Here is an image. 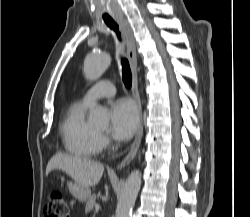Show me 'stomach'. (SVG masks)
Returning a JSON list of instances; mask_svg holds the SVG:
<instances>
[{"label": "stomach", "mask_w": 250, "mask_h": 217, "mask_svg": "<svg viewBox=\"0 0 250 217\" xmlns=\"http://www.w3.org/2000/svg\"><path fill=\"white\" fill-rule=\"evenodd\" d=\"M68 188L73 197L82 203L91 197V190L88 187H82L77 183L68 182Z\"/></svg>", "instance_id": "0dacf381"}]
</instances>
